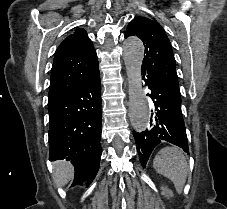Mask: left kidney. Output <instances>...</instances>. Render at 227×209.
<instances>
[{"label": "left kidney", "mask_w": 227, "mask_h": 209, "mask_svg": "<svg viewBox=\"0 0 227 209\" xmlns=\"http://www.w3.org/2000/svg\"><path fill=\"white\" fill-rule=\"evenodd\" d=\"M161 195H165V197H173L172 191L170 189H167V187H161Z\"/></svg>", "instance_id": "1"}]
</instances>
